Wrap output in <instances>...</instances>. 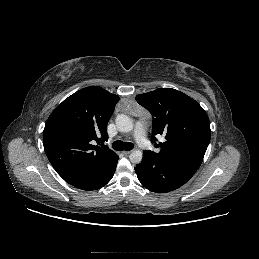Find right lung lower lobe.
Returning a JSON list of instances; mask_svg holds the SVG:
<instances>
[{
    "instance_id": "98d812e1",
    "label": "right lung lower lobe",
    "mask_w": 259,
    "mask_h": 259,
    "mask_svg": "<svg viewBox=\"0 0 259 259\" xmlns=\"http://www.w3.org/2000/svg\"><path fill=\"white\" fill-rule=\"evenodd\" d=\"M118 159L113 163V165H111L102 173L94 175L88 179L72 185L82 190H96L103 187L112 179L116 170Z\"/></svg>"
}]
</instances>
